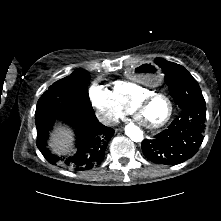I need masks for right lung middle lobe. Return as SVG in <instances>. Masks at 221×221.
Returning a JSON list of instances; mask_svg holds the SVG:
<instances>
[{"label":"right lung middle lobe","instance_id":"obj_1","mask_svg":"<svg viewBox=\"0 0 221 221\" xmlns=\"http://www.w3.org/2000/svg\"><path fill=\"white\" fill-rule=\"evenodd\" d=\"M88 78V72L77 69L71 78L65 77L50 86L38 100L36 127L65 115H94L86 87Z\"/></svg>","mask_w":221,"mask_h":221}]
</instances>
